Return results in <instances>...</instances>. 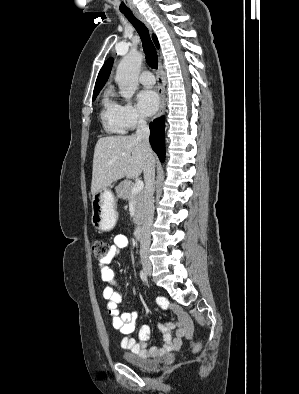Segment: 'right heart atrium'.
<instances>
[{"instance_id": "d8ad5b80", "label": "right heart atrium", "mask_w": 299, "mask_h": 394, "mask_svg": "<svg viewBox=\"0 0 299 394\" xmlns=\"http://www.w3.org/2000/svg\"><path fill=\"white\" fill-rule=\"evenodd\" d=\"M118 107L125 130H132L144 123V118L130 101L125 100Z\"/></svg>"}]
</instances>
